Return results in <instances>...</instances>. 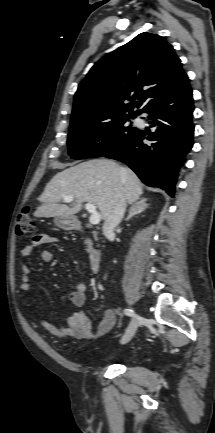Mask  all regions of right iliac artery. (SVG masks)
Here are the masks:
<instances>
[{
  "instance_id": "obj_1",
  "label": "right iliac artery",
  "mask_w": 215,
  "mask_h": 433,
  "mask_svg": "<svg viewBox=\"0 0 215 433\" xmlns=\"http://www.w3.org/2000/svg\"><path fill=\"white\" fill-rule=\"evenodd\" d=\"M123 312L125 315L134 316V311L132 309H124Z\"/></svg>"
}]
</instances>
